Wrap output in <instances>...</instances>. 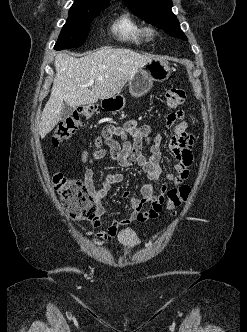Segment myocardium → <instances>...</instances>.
<instances>
[{
    "label": "myocardium",
    "mask_w": 247,
    "mask_h": 332,
    "mask_svg": "<svg viewBox=\"0 0 247 332\" xmlns=\"http://www.w3.org/2000/svg\"><path fill=\"white\" fill-rule=\"evenodd\" d=\"M145 35L149 39H153L155 37V35H156V31L152 27H147V28H145Z\"/></svg>",
    "instance_id": "f54148a6"
}]
</instances>
